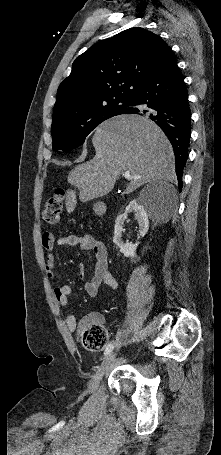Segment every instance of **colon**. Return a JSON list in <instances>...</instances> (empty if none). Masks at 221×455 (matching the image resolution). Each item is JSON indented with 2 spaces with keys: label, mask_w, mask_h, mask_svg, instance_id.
<instances>
[{
  "label": "colon",
  "mask_w": 221,
  "mask_h": 455,
  "mask_svg": "<svg viewBox=\"0 0 221 455\" xmlns=\"http://www.w3.org/2000/svg\"><path fill=\"white\" fill-rule=\"evenodd\" d=\"M65 193L62 189L45 202L42 216L47 224L54 225L59 221L64 206ZM108 334L98 321H91L83 328V346L89 351H101L105 348Z\"/></svg>",
  "instance_id": "1"
}]
</instances>
